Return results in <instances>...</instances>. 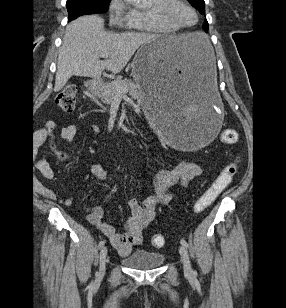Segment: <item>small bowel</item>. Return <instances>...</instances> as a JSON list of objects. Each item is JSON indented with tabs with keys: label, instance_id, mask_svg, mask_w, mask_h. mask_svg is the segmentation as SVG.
<instances>
[{
	"label": "small bowel",
	"instance_id": "c3829d8e",
	"mask_svg": "<svg viewBox=\"0 0 286 308\" xmlns=\"http://www.w3.org/2000/svg\"><path fill=\"white\" fill-rule=\"evenodd\" d=\"M56 127L57 125L54 121H48L43 128L34 134L35 145L39 146L47 140L50 142L51 147L54 148L56 146ZM77 130L78 126L76 124H68L60 130L57 139L70 142L75 137ZM90 131L94 135L100 133V129L96 125H92ZM56 154L62 159L70 158V155L64 152L58 151ZM168 157L172 162L171 168L161 171L155 177L157 194L147 197L141 202L134 198L129 200L131 216L126 221L123 233L117 232L111 224L103 222L105 212L100 205L87 209V220L109 239L112 246L121 255H127L134 247L143 243V232L154 220L156 208L171 201L169 189L175 185L185 186L201 174V169L198 165L183 163L177 160L173 154H169ZM37 169L46 179H53L55 176L49 163L45 160H40L37 163ZM90 169L96 181L104 182L107 180L108 174L102 165L93 164ZM43 193L49 198H55L54 193L47 188L44 189ZM90 197L91 195H89ZM61 202L65 206L73 204L72 198H66Z\"/></svg>",
	"mask_w": 286,
	"mask_h": 308
}]
</instances>
